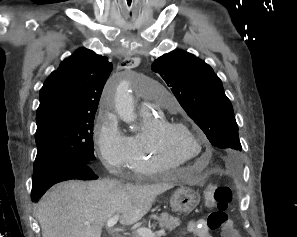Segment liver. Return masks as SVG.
<instances>
[{
    "label": "liver",
    "mask_w": 297,
    "mask_h": 237,
    "mask_svg": "<svg viewBox=\"0 0 297 237\" xmlns=\"http://www.w3.org/2000/svg\"><path fill=\"white\" fill-rule=\"evenodd\" d=\"M172 187L124 185L114 180L62 182L37 204L42 237H101L110 218L119 214L122 225H132L147 214L158 195Z\"/></svg>",
    "instance_id": "1"
}]
</instances>
